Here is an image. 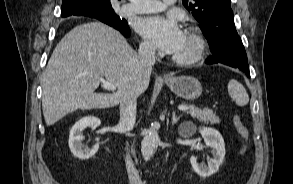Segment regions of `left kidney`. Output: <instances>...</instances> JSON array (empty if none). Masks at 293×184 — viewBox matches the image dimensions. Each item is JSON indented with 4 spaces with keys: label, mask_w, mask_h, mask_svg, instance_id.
Returning <instances> with one entry per match:
<instances>
[{
    "label": "left kidney",
    "mask_w": 293,
    "mask_h": 184,
    "mask_svg": "<svg viewBox=\"0 0 293 184\" xmlns=\"http://www.w3.org/2000/svg\"><path fill=\"white\" fill-rule=\"evenodd\" d=\"M204 142L207 146L212 148L213 158L208 160V165L197 162V158L192 156L190 162L193 170L203 178L213 175L218 171L219 166L223 163L225 157V145L222 135L215 129L204 127L200 128Z\"/></svg>",
    "instance_id": "5707ae66"
}]
</instances>
